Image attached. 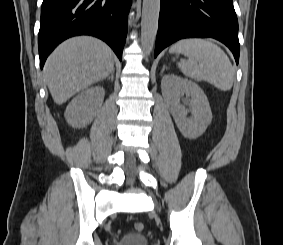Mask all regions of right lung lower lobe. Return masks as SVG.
I'll return each instance as SVG.
<instances>
[{
	"label": "right lung lower lobe",
	"mask_w": 283,
	"mask_h": 245,
	"mask_svg": "<svg viewBox=\"0 0 283 245\" xmlns=\"http://www.w3.org/2000/svg\"><path fill=\"white\" fill-rule=\"evenodd\" d=\"M132 0H43L38 36L40 67L65 39L92 35L105 41L121 60Z\"/></svg>",
	"instance_id": "1"
}]
</instances>
